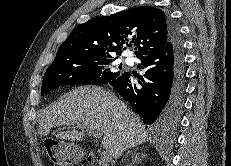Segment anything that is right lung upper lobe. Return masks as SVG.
I'll return each mask as SVG.
<instances>
[{"instance_id": "right-lung-upper-lobe-1", "label": "right lung upper lobe", "mask_w": 231, "mask_h": 166, "mask_svg": "<svg viewBox=\"0 0 231 166\" xmlns=\"http://www.w3.org/2000/svg\"><path fill=\"white\" fill-rule=\"evenodd\" d=\"M170 41L169 19L162 10L142 6L77 26L61 44L56 58L83 54L116 57L124 44L137 46L138 58L153 54ZM55 58V59H56Z\"/></svg>"}]
</instances>
